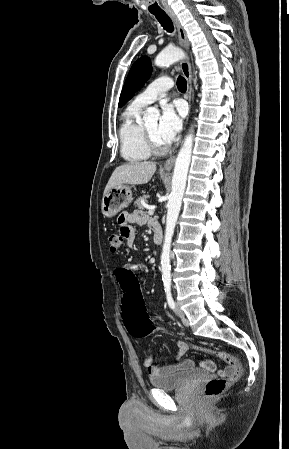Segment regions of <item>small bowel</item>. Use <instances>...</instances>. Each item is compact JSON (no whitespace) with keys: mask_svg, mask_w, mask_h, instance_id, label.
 <instances>
[{"mask_svg":"<svg viewBox=\"0 0 289 449\" xmlns=\"http://www.w3.org/2000/svg\"><path fill=\"white\" fill-rule=\"evenodd\" d=\"M118 223L120 225V234L123 236L126 245L128 248H132L134 240H135V229L133 227L134 224L137 225H145L147 223H151L152 225L157 224L154 221L149 220L148 216L142 211H134V212H123L119 219ZM120 268H133L134 270L144 271L145 267L142 265H133V264H125ZM138 338V337H137ZM178 353L176 355V363L168 366H157L154 365V356L150 355L147 357L143 365L148 370L151 376L153 375H161L170 372H177L182 370H190L195 367L194 361L190 359L183 360V355L189 349V344L184 340H179L177 342ZM201 367L207 371H214L216 368V364L212 360H204L201 362ZM234 371V367L232 365H228L224 369L219 371L221 376H229Z\"/></svg>","mask_w":289,"mask_h":449,"instance_id":"small-bowel-1","label":"small bowel"}]
</instances>
